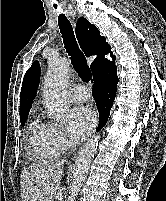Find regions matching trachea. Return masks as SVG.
Here are the masks:
<instances>
[{
  "label": "trachea",
  "mask_w": 166,
  "mask_h": 201,
  "mask_svg": "<svg viewBox=\"0 0 166 201\" xmlns=\"http://www.w3.org/2000/svg\"><path fill=\"white\" fill-rule=\"evenodd\" d=\"M57 7H55L56 9ZM58 25L60 33L63 38L65 49L70 55L72 64L77 71L79 77L86 82H92V74L90 68L86 63V58L84 54L78 47L74 31L70 21L65 17L64 14L59 15Z\"/></svg>",
  "instance_id": "3493384b"
}]
</instances>
